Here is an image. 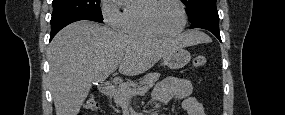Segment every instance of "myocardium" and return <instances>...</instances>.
Segmentation results:
<instances>
[{
    "mask_svg": "<svg viewBox=\"0 0 285 115\" xmlns=\"http://www.w3.org/2000/svg\"><path fill=\"white\" fill-rule=\"evenodd\" d=\"M161 1H165V0H150L149 3L146 5L145 10H144V21L147 25V27L154 32L155 34L159 35V36H177L180 33H182L186 26H187V22H188V16H187V11L185 8V5L183 4V2L181 0H171L173 2H175L181 10V15H182V23L180 25V27L173 32H166L163 31L162 29H160L153 21L152 19V12L153 10L156 8L157 4Z\"/></svg>",
    "mask_w": 285,
    "mask_h": 115,
    "instance_id": "1",
    "label": "myocardium"
}]
</instances>
